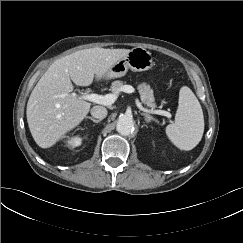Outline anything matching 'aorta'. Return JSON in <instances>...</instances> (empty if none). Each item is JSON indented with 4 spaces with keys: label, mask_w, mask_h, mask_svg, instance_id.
I'll list each match as a JSON object with an SVG mask.
<instances>
[{
    "label": "aorta",
    "mask_w": 243,
    "mask_h": 243,
    "mask_svg": "<svg viewBox=\"0 0 243 243\" xmlns=\"http://www.w3.org/2000/svg\"><path fill=\"white\" fill-rule=\"evenodd\" d=\"M116 130L122 135H129L134 130V121L131 116L122 115L119 117Z\"/></svg>",
    "instance_id": "762f6f07"
}]
</instances>
